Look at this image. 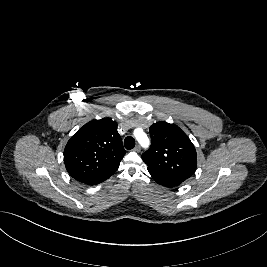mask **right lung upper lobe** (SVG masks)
Segmentation results:
<instances>
[{
  "mask_svg": "<svg viewBox=\"0 0 267 267\" xmlns=\"http://www.w3.org/2000/svg\"><path fill=\"white\" fill-rule=\"evenodd\" d=\"M125 153L117 123L102 118L88 122L70 138L64 163L74 179L86 183L116 171Z\"/></svg>",
  "mask_w": 267,
  "mask_h": 267,
  "instance_id": "cb5924a9",
  "label": "right lung upper lobe"
}]
</instances>
